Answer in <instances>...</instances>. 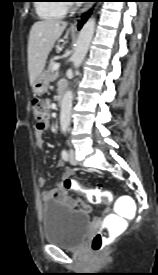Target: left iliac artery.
I'll return each instance as SVG.
<instances>
[{
	"instance_id": "1",
	"label": "left iliac artery",
	"mask_w": 158,
	"mask_h": 275,
	"mask_svg": "<svg viewBox=\"0 0 158 275\" xmlns=\"http://www.w3.org/2000/svg\"><path fill=\"white\" fill-rule=\"evenodd\" d=\"M61 156L62 158L67 161L68 159V152L64 149L62 152H61Z\"/></svg>"
}]
</instances>
